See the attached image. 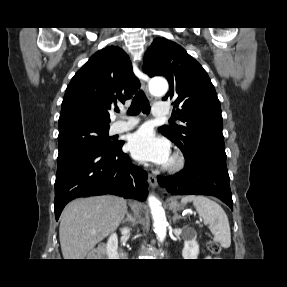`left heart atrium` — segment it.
Segmentation results:
<instances>
[{
  "label": "left heart atrium",
  "instance_id": "1",
  "mask_svg": "<svg viewBox=\"0 0 287 287\" xmlns=\"http://www.w3.org/2000/svg\"><path fill=\"white\" fill-rule=\"evenodd\" d=\"M127 147L132 156L141 162L165 164L170 157L167 141L157 137L148 127H142L131 134Z\"/></svg>",
  "mask_w": 287,
  "mask_h": 287
}]
</instances>
